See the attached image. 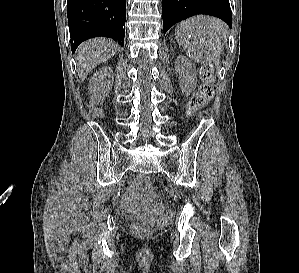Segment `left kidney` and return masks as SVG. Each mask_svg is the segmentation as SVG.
<instances>
[{"label": "left kidney", "mask_w": 299, "mask_h": 273, "mask_svg": "<svg viewBox=\"0 0 299 273\" xmlns=\"http://www.w3.org/2000/svg\"><path fill=\"white\" fill-rule=\"evenodd\" d=\"M175 69L179 73V84L182 91L186 94L191 93L197 84L195 66L187 58L179 56L175 62Z\"/></svg>", "instance_id": "left-kidney-1"}]
</instances>
